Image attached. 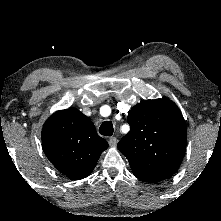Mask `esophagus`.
<instances>
[{"label": "esophagus", "instance_id": "obj_1", "mask_svg": "<svg viewBox=\"0 0 221 221\" xmlns=\"http://www.w3.org/2000/svg\"><path fill=\"white\" fill-rule=\"evenodd\" d=\"M117 142H118V140H117L116 137H110V138H109V145H110L111 147H116Z\"/></svg>", "mask_w": 221, "mask_h": 221}]
</instances>
